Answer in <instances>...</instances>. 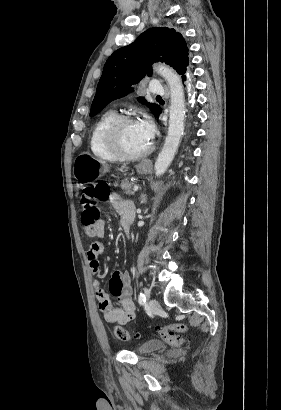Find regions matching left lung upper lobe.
Returning a JSON list of instances; mask_svg holds the SVG:
<instances>
[{
    "instance_id": "obj_1",
    "label": "left lung upper lobe",
    "mask_w": 281,
    "mask_h": 410,
    "mask_svg": "<svg viewBox=\"0 0 281 410\" xmlns=\"http://www.w3.org/2000/svg\"><path fill=\"white\" fill-rule=\"evenodd\" d=\"M165 62L182 77L188 73V48L182 35L167 27L150 28L133 43L116 50L106 61L91 105L90 116H95L111 101L125 96L145 75L151 76L152 62ZM146 104L156 116L160 107Z\"/></svg>"
}]
</instances>
